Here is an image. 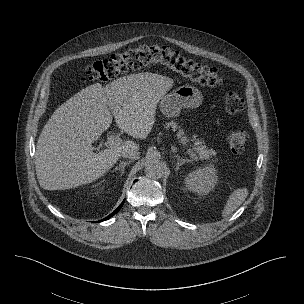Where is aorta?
<instances>
[{
  "mask_svg": "<svg viewBox=\"0 0 304 304\" xmlns=\"http://www.w3.org/2000/svg\"><path fill=\"white\" fill-rule=\"evenodd\" d=\"M145 174L152 179H158L164 174V164L158 159H149L145 165Z\"/></svg>",
  "mask_w": 304,
  "mask_h": 304,
  "instance_id": "762f6f07",
  "label": "aorta"
}]
</instances>
